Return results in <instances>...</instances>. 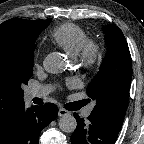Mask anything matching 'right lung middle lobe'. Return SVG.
<instances>
[{
    "label": "right lung middle lobe",
    "mask_w": 144,
    "mask_h": 144,
    "mask_svg": "<svg viewBox=\"0 0 144 144\" xmlns=\"http://www.w3.org/2000/svg\"><path fill=\"white\" fill-rule=\"evenodd\" d=\"M40 33L41 31H37L23 39L18 52L9 62L10 79L22 95L24 92L21 85L27 84L33 74L34 42Z\"/></svg>",
    "instance_id": "obj_1"
}]
</instances>
